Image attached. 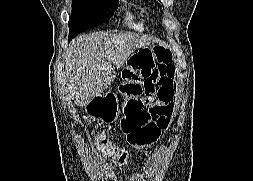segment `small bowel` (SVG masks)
<instances>
[{"label":"small bowel","instance_id":"1","mask_svg":"<svg viewBox=\"0 0 253 181\" xmlns=\"http://www.w3.org/2000/svg\"><path fill=\"white\" fill-rule=\"evenodd\" d=\"M138 58H142L139 53ZM136 70L144 72L142 85L151 96L159 95L165 107V114L170 117L174 112L175 71L172 67L159 64L153 59H144L142 63H134Z\"/></svg>","mask_w":253,"mask_h":181}]
</instances>
